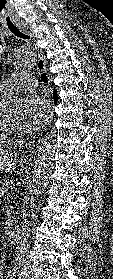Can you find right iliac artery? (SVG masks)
I'll use <instances>...</instances> for the list:
<instances>
[{"label": "right iliac artery", "instance_id": "obj_1", "mask_svg": "<svg viewBox=\"0 0 113 279\" xmlns=\"http://www.w3.org/2000/svg\"><path fill=\"white\" fill-rule=\"evenodd\" d=\"M16 270H13L11 273H10V279H13V277H15L16 276Z\"/></svg>", "mask_w": 113, "mask_h": 279}]
</instances>
